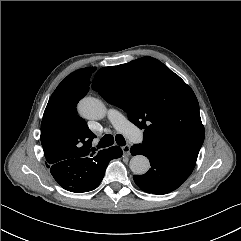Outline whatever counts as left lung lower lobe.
<instances>
[{
  "label": "left lung lower lobe",
  "instance_id": "0a47b994",
  "mask_svg": "<svg viewBox=\"0 0 241 241\" xmlns=\"http://www.w3.org/2000/svg\"><path fill=\"white\" fill-rule=\"evenodd\" d=\"M132 155L149 158L151 168L143 175H134L135 183L145 192L166 194L177 189L192 173L195 164L179 157L149 149L141 144L131 147Z\"/></svg>",
  "mask_w": 241,
  "mask_h": 241
}]
</instances>
